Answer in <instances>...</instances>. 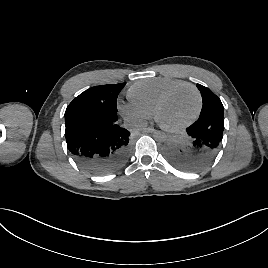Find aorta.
Here are the masks:
<instances>
[{
  "mask_svg": "<svg viewBox=\"0 0 268 268\" xmlns=\"http://www.w3.org/2000/svg\"><path fill=\"white\" fill-rule=\"evenodd\" d=\"M154 137L158 141H163V140H165L167 138V135L165 133H163V132H156L154 134Z\"/></svg>",
  "mask_w": 268,
  "mask_h": 268,
  "instance_id": "1",
  "label": "aorta"
}]
</instances>
